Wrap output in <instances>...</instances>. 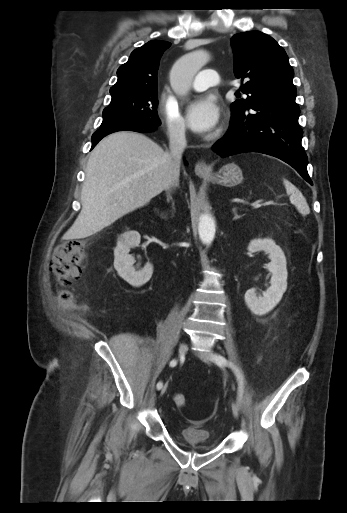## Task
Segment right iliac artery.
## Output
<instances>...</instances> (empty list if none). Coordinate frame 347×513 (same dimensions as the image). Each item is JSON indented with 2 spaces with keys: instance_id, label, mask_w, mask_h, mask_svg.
<instances>
[{
  "instance_id": "1",
  "label": "right iliac artery",
  "mask_w": 347,
  "mask_h": 513,
  "mask_svg": "<svg viewBox=\"0 0 347 513\" xmlns=\"http://www.w3.org/2000/svg\"><path fill=\"white\" fill-rule=\"evenodd\" d=\"M176 364H177V360H176V359H173V360H171V361H170V366H171V367H175V366H176ZM162 387H163V383H162V382H158V383H157V389L159 390V389H161Z\"/></svg>"
}]
</instances>
